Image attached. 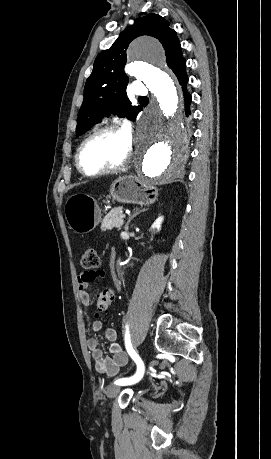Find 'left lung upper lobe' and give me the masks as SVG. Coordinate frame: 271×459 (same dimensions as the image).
I'll return each mask as SVG.
<instances>
[{"label": "left lung upper lobe", "mask_w": 271, "mask_h": 459, "mask_svg": "<svg viewBox=\"0 0 271 459\" xmlns=\"http://www.w3.org/2000/svg\"><path fill=\"white\" fill-rule=\"evenodd\" d=\"M142 35L155 37L161 42L167 65L171 69L184 59L177 34L169 28L167 20L154 13L137 19L110 49L102 51L96 57L93 71L84 88V100L77 118V135L88 131L103 116L113 113L135 120L142 110L141 106H132L127 98L128 77L123 70L129 44Z\"/></svg>", "instance_id": "left-lung-upper-lobe-1"}]
</instances>
